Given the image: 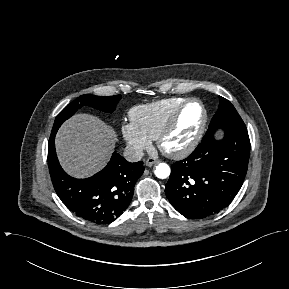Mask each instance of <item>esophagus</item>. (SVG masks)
<instances>
[{
  "label": "esophagus",
  "mask_w": 289,
  "mask_h": 289,
  "mask_svg": "<svg viewBox=\"0 0 289 289\" xmlns=\"http://www.w3.org/2000/svg\"><path fill=\"white\" fill-rule=\"evenodd\" d=\"M146 166H152L154 164L159 163L160 161L158 159H155L153 157H148L144 160Z\"/></svg>",
  "instance_id": "1"
}]
</instances>
